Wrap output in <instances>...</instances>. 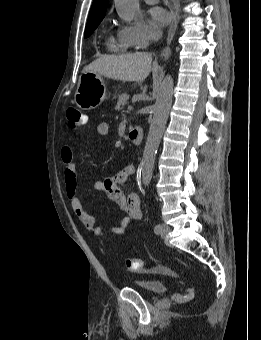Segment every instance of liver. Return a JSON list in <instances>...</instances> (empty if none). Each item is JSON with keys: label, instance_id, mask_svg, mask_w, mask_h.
<instances>
[{"label": "liver", "instance_id": "1", "mask_svg": "<svg viewBox=\"0 0 261 340\" xmlns=\"http://www.w3.org/2000/svg\"><path fill=\"white\" fill-rule=\"evenodd\" d=\"M152 57L146 52L103 55L83 69L121 81L141 82L151 71Z\"/></svg>", "mask_w": 261, "mask_h": 340}]
</instances>
